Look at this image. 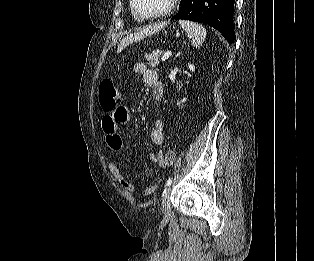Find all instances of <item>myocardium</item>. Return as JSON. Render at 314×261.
I'll list each match as a JSON object with an SVG mask.
<instances>
[{
	"label": "myocardium",
	"instance_id": "f54148a6",
	"mask_svg": "<svg viewBox=\"0 0 314 261\" xmlns=\"http://www.w3.org/2000/svg\"><path fill=\"white\" fill-rule=\"evenodd\" d=\"M178 1L179 0H170L165 9L159 12L153 13V14H143L142 12H140L136 6V0H131V7L137 17L141 19H155V18L164 17L170 14L175 9Z\"/></svg>",
	"mask_w": 314,
	"mask_h": 261
}]
</instances>
